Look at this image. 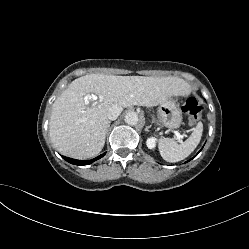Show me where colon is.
Here are the masks:
<instances>
[{
  "label": "colon",
  "instance_id": "1",
  "mask_svg": "<svg viewBox=\"0 0 249 249\" xmlns=\"http://www.w3.org/2000/svg\"><path fill=\"white\" fill-rule=\"evenodd\" d=\"M182 109L188 114L190 125L196 124L203 112V107L195 95H191L186 99Z\"/></svg>",
  "mask_w": 249,
  "mask_h": 249
}]
</instances>
